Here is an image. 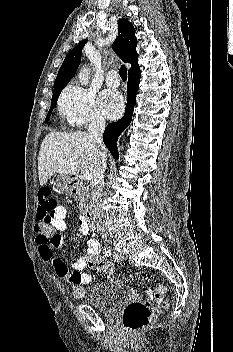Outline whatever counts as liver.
Masks as SVG:
<instances>
[{
	"label": "liver",
	"mask_w": 233,
	"mask_h": 352,
	"mask_svg": "<svg viewBox=\"0 0 233 352\" xmlns=\"http://www.w3.org/2000/svg\"><path fill=\"white\" fill-rule=\"evenodd\" d=\"M106 156V151L102 148ZM99 159V148L86 132H51L42 141L38 157L40 185L56 174L76 175L82 171L94 174Z\"/></svg>",
	"instance_id": "obj_1"
}]
</instances>
